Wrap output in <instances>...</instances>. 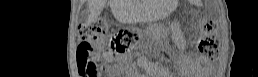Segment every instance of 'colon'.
I'll use <instances>...</instances> for the list:
<instances>
[{
	"instance_id": "colon-1",
	"label": "colon",
	"mask_w": 258,
	"mask_h": 77,
	"mask_svg": "<svg viewBox=\"0 0 258 77\" xmlns=\"http://www.w3.org/2000/svg\"><path fill=\"white\" fill-rule=\"evenodd\" d=\"M201 36L198 50L207 59H215L219 53V38L215 26L204 21L200 27ZM81 43L78 47L77 62L80 73L91 76L98 72V66L92 59L94 51L104 49L108 44V25L104 20H96L84 25L79 31ZM137 35L132 30H120L110 39V47L116 52L128 50L136 41Z\"/></svg>"
}]
</instances>
